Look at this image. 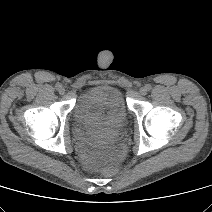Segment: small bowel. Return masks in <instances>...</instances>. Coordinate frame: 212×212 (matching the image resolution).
Returning a JSON list of instances; mask_svg holds the SVG:
<instances>
[{"label": "small bowel", "mask_w": 212, "mask_h": 212, "mask_svg": "<svg viewBox=\"0 0 212 212\" xmlns=\"http://www.w3.org/2000/svg\"><path fill=\"white\" fill-rule=\"evenodd\" d=\"M102 123V124H107L108 123V120L107 118L104 116V114L102 113L100 116H99V123Z\"/></svg>", "instance_id": "small-bowel-1"}]
</instances>
